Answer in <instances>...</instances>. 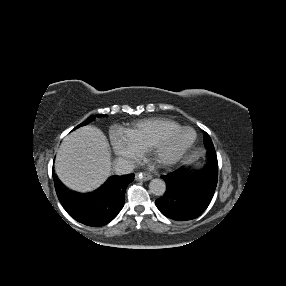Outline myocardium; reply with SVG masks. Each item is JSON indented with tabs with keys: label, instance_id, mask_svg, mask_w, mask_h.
I'll return each instance as SVG.
<instances>
[{
	"label": "myocardium",
	"instance_id": "1",
	"mask_svg": "<svg viewBox=\"0 0 286 286\" xmlns=\"http://www.w3.org/2000/svg\"><path fill=\"white\" fill-rule=\"evenodd\" d=\"M186 131H191L193 133L192 141L179 151L175 153H168V150L173 142ZM197 140L198 136L196 131L192 127L185 126L181 127L170 135L157 140L148 148V150L155 161H157V163H159L161 166L171 167L182 162L194 150Z\"/></svg>",
	"mask_w": 286,
	"mask_h": 286
}]
</instances>
